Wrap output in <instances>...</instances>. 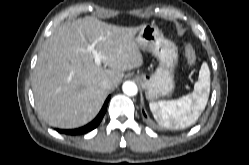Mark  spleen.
<instances>
[{
  "label": "spleen",
  "instance_id": "spleen-1",
  "mask_svg": "<svg viewBox=\"0 0 249 165\" xmlns=\"http://www.w3.org/2000/svg\"><path fill=\"white\" fill-rule=\"evenodd\" d=\"M210 92V70L203 63L198 81L191 94L172 101L150 102V110L156 121L165 127H187L194 124L208 101Z\"/></svg>",
  "mask_w": 249,
  "mask_h": 165
}]
</instances>
